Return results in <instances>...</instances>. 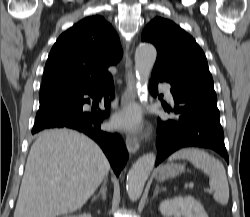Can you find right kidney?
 I'll use <instances>...</instances> for the list:
<instances>
[{
    "label": "right kidney",
    "mask_w": 250,
    "mask_h": 217,
    "mask_svg": "<svg viewBox=\"0 0 250 217\" xmlns=\"http://www.w3.org/2000/svg\"><path fill=\"white\" fill-rule=\"evenodd\" d=\"M69 217H91L90 214H81L79 216H69Z\"/></svg>",
    "instance_id": "1"
}]
</instances>
